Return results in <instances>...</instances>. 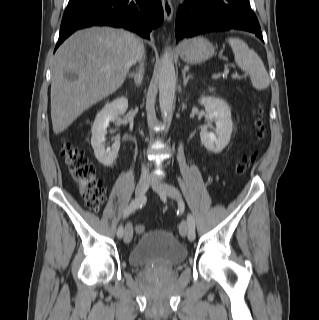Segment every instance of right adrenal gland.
Instances as JSON below:
<instances>
[{
    "mask_svg": "<svg viewBox=\"0 0 319 320\" xmlns=\"http://www.w3.org/2000/svg\"><path fill=\"white\" fill-rule=\"evenodd\" d=\"M143 73H144L143 64H140L138 71L129 73L128 77L133 78L136 86L140 87V85L142 84V81H143Z\"/></svg>",
    "mask_w": 319,
    "mask_h": 320,
    "instance_id": "2a0ac1e0",
    "label": "right adrenal gland"
}]
</instances>
